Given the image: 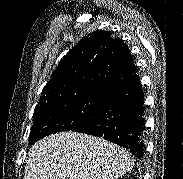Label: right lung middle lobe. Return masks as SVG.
<instances>
[{"label": "right lung middle lobe", "instance_id": "right-lung-middle-lobe-1", "mask_svg": "<svg viewBox=\"0 0 183 179\" xmlns=\"http://www.w3.org/2000/svg\"><path fill=\"white\" fill-rule=\"evenodd\" d=\"M101 100L102 94H87L36 106L30 144L52 133L77 131L94 116Z\"/></svg>", "mask_w": 183, "mask_h": 179}]
</instances>
